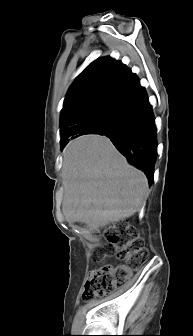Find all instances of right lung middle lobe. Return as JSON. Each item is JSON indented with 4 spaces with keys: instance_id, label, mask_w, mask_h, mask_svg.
I'll return each mask as SVG.
<instances>
[{
    "instance_id": "obj_1",
    "label": "right lung middle lobe",
    "mask_w": 193,
    "mask_h": 336,
    "mask_svg": "<svg viewBox=\"0 0 193 336\" xmlns=\"http://www.w3.org/2000/svg\"><path fill=\"white\" fill-rule=\"evenodd\" d=\"M110 109L101 110L93 115L84 116L74 122L71 127L73 133L97 134L104 126L110 114Z\"/></svg>"
}]
</instances>
